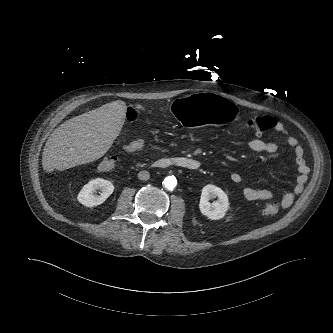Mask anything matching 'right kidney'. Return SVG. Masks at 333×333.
<instances>
[{"label": "right kidney", "instance_id": "right-kidney-1", "mask_svg": "<svg viewBox=\"0 0 333 333\" xmlns=\"http://www.w3.org/2000/svg\"><path fill=\"white\" fill-rule=\"evenodd\" d=\"M100 190V195L96 194ZM114 191L111 181L103 178H96L83 186L78 194V201L86 207H93L102 204Z\"/></svg>", "mask_w": 333, "mask_h": 333}]
</instances>
